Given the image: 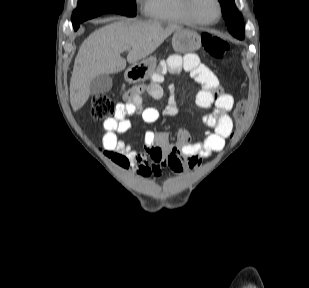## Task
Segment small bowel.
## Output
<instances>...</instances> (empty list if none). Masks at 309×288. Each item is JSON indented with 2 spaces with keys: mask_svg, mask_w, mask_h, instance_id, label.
Wrapping results in <instances>:
<instances>
[{
  "mask_svg": "<svg viewBox=\"0 0 309 288\" xmlns=\"http://www.w3.org/2000/svg\"><path fill=\"white\" fill-rule=\"evenodd\" d=\"M167 70L177 74L182 69L188 71L195 83L184 89V98H195L196 105L210 111L203 119L209 129L202 141H192L191 134L186 128H180L176 142H172L166 132L148 131L145 135V150L137 152L119 140L117 134L128 131L131 127L129 116L139 115L143 122L151 124L160 118V112L154 107L144 106V96L160 99L163 89L158 79L148 85L133 88L124 95V102L118 103V110L114 117L103 123L104 135L102 144L106 154L118 155L117 161L122 168L136 170L142 178H160L164 168H168L175 175H181L186 169H195L200 166L203 158L220 152L225 146V140L233 131V121L229 112L234 106V98L223 91L213 71L202 64L195 54L184 56L172 55L169 57ZM178 101L174 91L168 98V104L163 114L173 116L177 113Z\"/></svg>",
  "mask_w": 309,
  "mask_h": 288,
  "instance_id": "c3829d8e",
  "label": "small bowel"
}]
</instances>
